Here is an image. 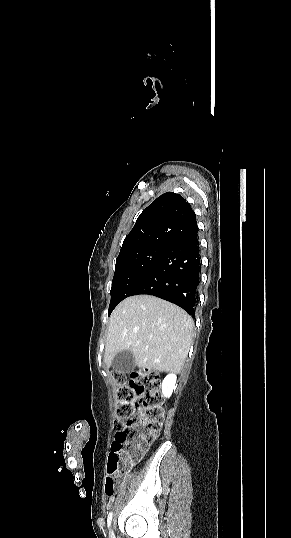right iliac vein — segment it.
Listing matches in <instances>:
<instances>
[{
    "label": "right iliac vein",
    "instance_id": "1",
    "mask_svg": "<svg viewBox=\"0 0 291 538\" xmlns=\"http://www.w3.org/2000/svg\"><path fill=\"white\" fill-rule=\"evenodd\" d=\"M109 538H114V535H113L112 531H110V537Z\"/></svg>",
    "mask_w": 291,
    "mask_h": 538
}]
</instances>
